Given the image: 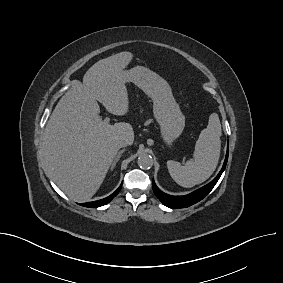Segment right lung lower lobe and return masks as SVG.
<instances>
[{
    "instance_id": "obj_1",
    "label": "right lung lower lobe",
    "mask_w": 283,
    "mask_h": 283,
    "mask_svg": "<svg viewBox=\"0 0 283 283\" xmlns=\"http://www.w3.org/2000/svg\"><path fill=\"white\" fill-rule=\"evenodd\" d=\"M121 187H122V184L113 194H111L110 196H108L104 199H101V200H98V201H93V202L81 203L80 205L84 206V207H90V208H95V207H100V206L106 205L119 193Z\"/></svg>"
}]
</instances>
